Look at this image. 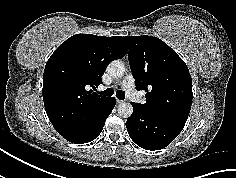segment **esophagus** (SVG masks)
<instances>
[{
    "label": "esophagus",
    "mask_w": 236,
    "mask_h": 178,
    "mask_svg": "<svg viewBox=\"0 0 236 178\" xmlns=\"http://www.w3.org/2000/svg\"><path fill=\"white\" fill-rule=\"evenodd\" d=\"M116 102H117V104H121V103H123L124 101H123V100H120V99H117Z\"/></svg>",
    "instance_id": "obj_1"
}]
</instances>
